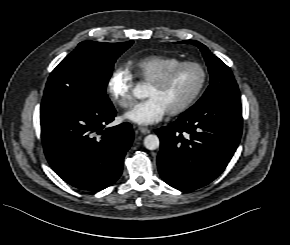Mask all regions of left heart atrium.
<instances>
[{"label": "left heart atrium", "instance_id": "obj_1", "mask_svg": "<svg viewBox=\"0 0 290 245\" xmlns=\"http://www.w3.org/2000/svg\"><path fill=\"white\" fill-rule=\"evenodd\" d=\"M167 113L165 107L154 97H148L137 103L125 117L140 125L159 122Z\"/></svg>", "mask_w": 290, "mask_h": 245}]
</instances>
